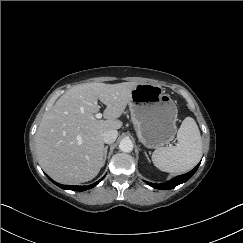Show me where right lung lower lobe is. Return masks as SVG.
Masks as SVG:
<instances>
[{
    "label": "right lung lower lobe",
    "mask_w": 243,
    "mask_h": 243,
    "mask_svg": "<svg viewBox=\"0 0 243 243\" xmlns=\"http://www.w3.org/2000/svg\"><path fill=\"white\" fill-rule=\"evenodd\" d=\"M48 178H49L50 181H52L54 184H56L57 186L61 187L62 189L73 190V191H85V190L91 189L94 186H96L104 177L101 178L99 181L95 182L94 184H91V185H88V186L62 185V184L56 183L50 177H48Z\"/></svg>",
    "instance_id": "1"
}]
</instances>
